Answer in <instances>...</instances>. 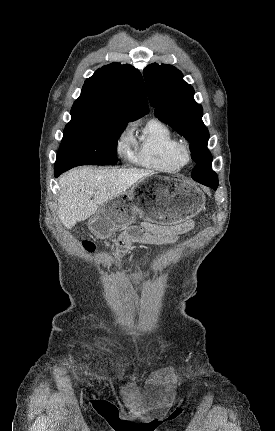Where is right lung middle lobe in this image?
Wrapping results in <instances>:
<instances>
[{
  "label": "right lung middle lobe",
  "instance_id": "obj_1",
  "mask_svg": "<svg viewBox=\"0 0 275 431\" xmlns=\"http://www.w3.org/2000/svg\"><path fill=\"white\" fill-rule=\"evenodd\" d=\"M126 123L114 117L72 118L65 126L55 168L117 163V143Z\"/></svg>",
  "mask_w": 275,
  "mask_h": 431
}]
</instances>
